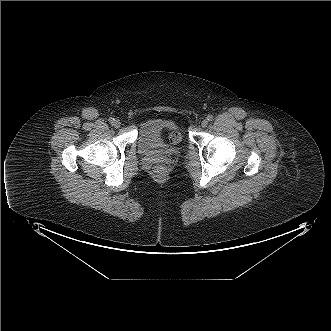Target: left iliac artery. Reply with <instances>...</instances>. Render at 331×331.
<instances>
[{
    "mask_svg": "<svg viewBox=\"0 0 331 331\" xmlns=\"http://www.w3.org/2000/svg\"><path fill=\"white\" fill-rule=\"evenodd\" d=\"M212 119H213V116H212V115H208V116H207V120H208V121H212Z\"/></svg>",
    "mask_w": 331,
    "mask_h": 331,
    "instance_id": "obj_1",
    "label": "left iliac artery"
}]
</instances>
